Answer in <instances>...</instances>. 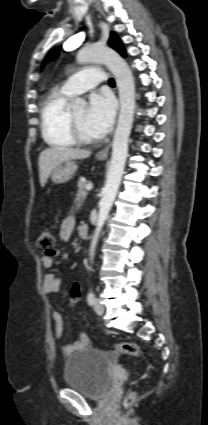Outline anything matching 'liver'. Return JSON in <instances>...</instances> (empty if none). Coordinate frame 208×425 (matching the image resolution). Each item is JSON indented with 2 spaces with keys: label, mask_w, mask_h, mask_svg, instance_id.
I'll list each match as a JSON object with an SVG mask.
<instances>
[{
  "label": "liver",
  "mask_w": 208,
  "mask_h": 425,
  "mask_svg": "<svg viewBox=\"0 0 208 425\" xmlns=\"http://www.w3.org/2000/svg\"><path fill=\"white\" fill-rule=\"evenodd\" d=\"M91 155L88 150L71 147L54 146L43 150L39 155L40 184L45 186L53 169L60 163L75 159H85Z\"/></svg>",
  "instance_id": "obj_1"
}]
</instances>
